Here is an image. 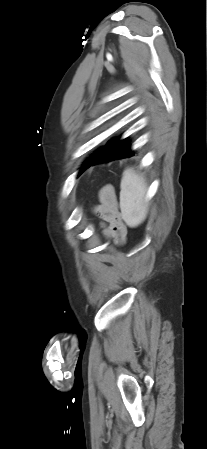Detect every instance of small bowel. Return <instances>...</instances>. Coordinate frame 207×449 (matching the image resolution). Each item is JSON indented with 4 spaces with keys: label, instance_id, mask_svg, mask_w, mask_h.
<instances>
[{
    "label": "small bowel",
    "instance_id": "c3829d8e",
    "mask_svg": "<svg viewBox=\"0 0 207 449\" xmlns=\"http://www.w3.org/2000/svg\"><path fill=\"white\" fill-rule=\"evenodd\" d=\"M95 213L103 220L102 227L107 238L123 242L126 238V226L122 221L115 193L111 187L100 192V204L95 207Z\"/></svg>",
    "mask_w": 207,
    "mask_h": 449
}]
</instances>
